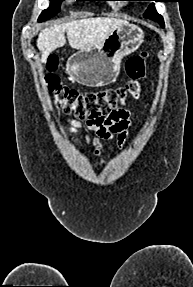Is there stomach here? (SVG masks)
I'll list each match as a JSON object with an SVG mask.
<instances>
[{"mask_svg": "<svg viewBox=\"0 0 193 287\" xmlns=\"http://www.w3.org/2000/svg\"><path fill=\"white\" fill-rule=\"evenodd\" d=\"M143 41L144 32L140 27L122 25L96 47L79 50L69 57L67 73L74 82L88 87L111 84L119 75L122 59L135 52Z\"/></svg>", "mask_w": 193, "mask_h": 287, "instance_id": "stomach-1", "label": "stomach"}]
</instances>
